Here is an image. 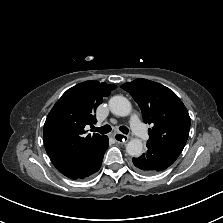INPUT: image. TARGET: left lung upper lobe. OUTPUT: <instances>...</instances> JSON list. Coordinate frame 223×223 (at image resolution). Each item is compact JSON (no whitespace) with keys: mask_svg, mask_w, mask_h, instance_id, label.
<instances>
[{"mask_svg":"<svg viewBox=\"0 0 223 223\" xmlns=\"http://www.w3.org/2000/svg\"><path fill=\"white\" fill-rule=\"evenodd\" d=\"M138 103L145 123L152 124L147 143L182 152L188 139L190 117L179 97L162 84L136 79L121 86Z\"/></svg>","mask_w":223,"mask_h":223,"instance_id":"left-lung-upper-lobe-1","label":"left lung upper lobe"}]
</instances>
